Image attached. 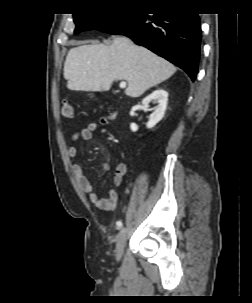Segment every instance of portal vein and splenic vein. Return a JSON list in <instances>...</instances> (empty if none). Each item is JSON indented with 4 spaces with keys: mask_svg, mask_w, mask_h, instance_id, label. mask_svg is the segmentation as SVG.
<instances>
[{
    "mask_svg": "<svg viewBox=\"0 0 252 303\" xmlns=\"http://www.w3.org/2000/svg\"><path fill=\"white\" fill-rule=\"evenodd\" d=\"M126 85H127V83H126L125 81H122V82H120L119 87H120V88H125Z\"/></svg>",
    "mask_w": 252,
    "mask_h": 303,
    "instance_id": "1",
    "label": "portal vein and splenic vein"
}]
</instances>
